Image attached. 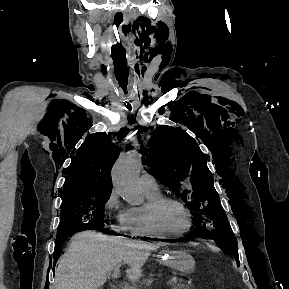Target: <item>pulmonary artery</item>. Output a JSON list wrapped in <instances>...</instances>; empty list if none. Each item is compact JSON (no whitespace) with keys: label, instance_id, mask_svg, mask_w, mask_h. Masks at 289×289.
<instances>
[{"label":"pulmonary artery","instance_id":"1","mask_svg":"<svg viewBox=\"0 0 289 289\" xmlns=\"http://www.w3.org/2000/svg\"><path fill=\"white\" fill-rule=\"evenodd\" d=\"M140 186L145 192L157 193L159 190L158 183L153 175L143 173L140 177Z\"/></svg>","mask_w":289,"mask_h":289}]
</instances>
